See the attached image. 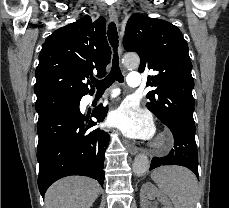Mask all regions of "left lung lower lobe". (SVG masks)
Listing matches in <instances>:
<instances>
[{
  "label": "left lung lower lobe",
  "mask_w": 229,
  "mask_h": 208,
  "mask_svg": "<svg viewBox=\"0 0 229 208\" xmlns=\"http://www.w3.org/2000/svg\"><path fill=\"white\" fill-rule=\"evenodd\" d=\"M174 136V149L161 158H153L150 170L162 165H180L187 167L198 175V152L195 142V129H191L185 124H165Z\"/></svg>",
  "instance_id": "obj_1"
}]
</instances>
